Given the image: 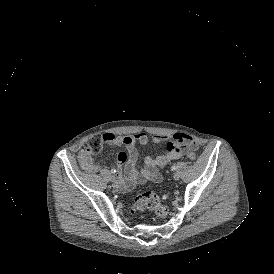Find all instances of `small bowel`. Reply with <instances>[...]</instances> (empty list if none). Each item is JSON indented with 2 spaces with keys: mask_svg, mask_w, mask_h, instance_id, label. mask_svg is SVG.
I'll use <instances>...</instances> for the list:
<instances>
[{
  "mask_svg": "<svg viewBox=\"0 0 274 274\" xmlns=\"http://www.w3.org/2000/svg\"><path fill=\"white\" fill-rule=\"evenodd\" d=\"M174 139L178 142H172L169 145V154L161 155L157 158L146 157L144 167L141 171L138 169V152L135 144L146 145L149 142L148 135L144 132H138L131 136H115L113 134H105L103 141L106 144H115L123 146L126 151H122L117 155L118 172L115 179V187L122 191H129L136 184H144L148 180L153 182L161 181L162 177L160 169L166 166L171 160H180L183 157V147L197 149L198 144L185 134H176ZM153 141L162 144L165 137L155 135ZM181 144H180V143ZM80 165L86 171H94L97 169H105L106 164L103 161H97L91 152L86 149L80 151L78 155ZM124 166V176L120 172V168Z\"/></svg>",
  "mask_w": 274,
  "mask_h": 274,
  "instance_id": "c3829d8e",
  "label": "small bowel"
}]
</instances>
